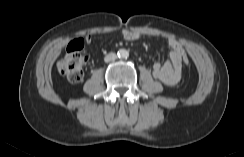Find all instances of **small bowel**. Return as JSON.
<instances>
[{
	"instance_id": "1",
	"label": "small bowel",
	"mask_w": 244,
	"mask_h": 157,
	"mask_svg": "<svg viewBox=\"0 0 244 157\" xmlns=\"http://www.w3.org/2000/svg\"><path fill=\"white\" fill-rule=\"evenodd\" d=\"M122 36L125 40L136 41L140 39L142 35L138 32L123 30ZM85 40L86 43L90 44L92 42V36H86ZM167 45L171 49L169 60L163 64L160 62H154L152 65V74L155 79L166 85H175L181 79L182 57L185 54V51L180 43L173 38L167 39Z\"/></svg>"
}]
</instances>
